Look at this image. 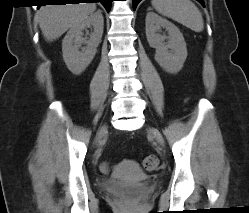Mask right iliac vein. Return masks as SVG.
Returning a JSON list of instances; mask_svg holds the SVG:
<instances>
[{
    "label": "right iliac vein",
    "instance_id": "63e3f726",
    "mask_svg": "<svg viewBox=\"0 0 249 213\" xmlns=\"http://www.w3.org/2000/svg\"><path fill=\"white\" fill-rule=\"evenodd\" d=\"M107 133V125H104L101 127L99 134H98V138L97 141H100V139Z\"/></svg>",
    "mask_w": 249,
    "mask_h": 213
}]
</instances>
